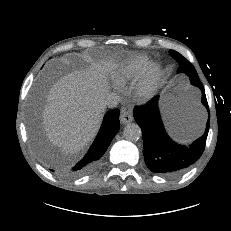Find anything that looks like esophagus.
I'll use <instances>...</instances> for the list:
<instances>
[{
  "instance_id": "1",
  "label": "esophagus",
  "mask_w": 231,
  "mask_h": 231,
  "mask_svg": "<svg viewBox=\"0 0 231 231\" xmlns=\"http://www.w3.org/2000/svg\"><path fill=\"white\" fill-rule=\"evenodd\" d=\"M133 114L130 110L122 109L120 121L122 124H128L133 121Z\"/></svg>"
}]
</instances>
